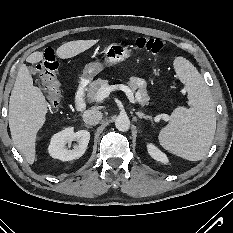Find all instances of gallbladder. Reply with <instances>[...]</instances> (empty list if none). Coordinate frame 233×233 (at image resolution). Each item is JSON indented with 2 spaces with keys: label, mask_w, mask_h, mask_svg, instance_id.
Here are the masks:
<instances>
[{
  "label": "gallbladder",
  "mask_w": 233,
  "mask_h": 233,
  "mask_svg": "<svg viewBox=\"0 0 233 233\" xmlns=\"http://www.w3.org/2000/svg\"><path fill=\"white\" fill-rule=\"evenodd\" d=\"M29 72L33 75H36L37 74V70L34 68V67H29L28 68Z\"/></svg>",
  "instance_id": "1"
}]
</instances>
